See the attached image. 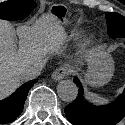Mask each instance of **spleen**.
<instances>
[{
  "label": "spleen",
  "instance_id": "obj_1",
  "mask_svg": "<svg viewBox=\"0 0 125 125\" xmlns=\"http://www.w3.org/2000/svg\"><path fill=\"white\" fill-rule=\"evenodd\" d=\"M87 97H88V99H90L91 101L96 102V103H104L107 101L105 98L100 97L99 95L90 93V92L87 93Z\"/></svg>",
  "mask_w": 125,
  "mask_h": 125
}]
</instances>
